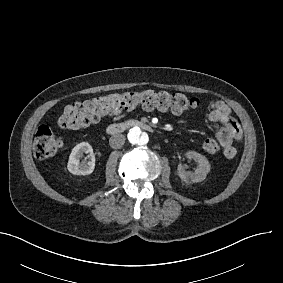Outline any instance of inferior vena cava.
<instances>
[{"instance_id":"obj_1","label":"inferior vena cava","mask_w":283,"mask_h":283,"mask_svg":"<svg viewBox=\"0 0 283 283\" xmlns=\"http://www.w3.org/2000/svg\"><path fill=\"white\" fill-rule=\"evenodd\" d=\"M125 143V136L122 134H115L110 137L109 145L113 149H120Z\"/></svg>"}]
</instances>
